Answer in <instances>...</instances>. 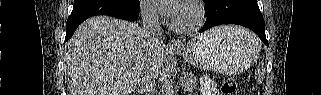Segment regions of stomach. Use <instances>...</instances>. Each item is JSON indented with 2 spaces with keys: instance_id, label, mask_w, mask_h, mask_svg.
<instances>
[{
  "instance_id": "obj_1",
  "label": "stomach",
  "mask_w": 321,
  "mask_h": 95,
  "mask_svg": "<svg viewBox=\"0 0 321 95\" xmlns=\"http://www.w3.org/2000/svg\"><path fill=\"white\" fill-rule=\"evenodd\" d=\"M173 50L194 66L231 75L253 64L260 46L251 32L228 27L227 30H210L184 48Z\"/></svg>"
}]
</instances>
